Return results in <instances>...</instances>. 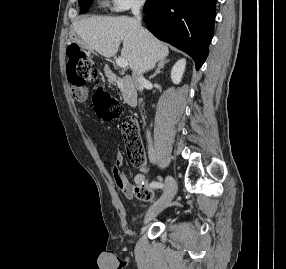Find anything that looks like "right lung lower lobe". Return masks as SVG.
Masks as SVG:
<instances>
[{"label": "right lung lower lobe", "mask_w": 286, "mask_h": 269, "mask_svg": "<svg viewBox=\"0 0 286 269\" xmlns=\"http://www.w3.org/2000/svg\"><path fill=\"white\" fill-rule=\"evenodd\" d=\"M217 0H158L144 8V22L158 39L189 54L202 66L213 37Z\"/></svg>", "instance_id": "obj_1"}]
</instances>
